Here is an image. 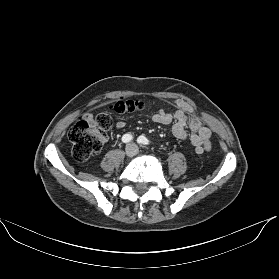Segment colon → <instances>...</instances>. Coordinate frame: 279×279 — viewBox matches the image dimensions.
Returning <instances> with one entry per match:
<instances>
[{
	"instance_id": "colon-1",
	"label": "colon",
	"mask_w": 279,
	"mask_h": 279,
	"mask_svg": "<svg viewBox=\"0 0 279 279\" xmlns=\"http://www.w3.org/2000/svg\"><path fill=\"white\" fill-rule=\"evenodd\" d=\"M144 103L140 100L120 98L110 108L118 113H130L141 110ZM111 126V119L106 114H99L93 120L83 119L74 124L68 136L72 143V155L78 162H85L90 156L101 150L106 141L105 131ZM205 150H211V142L205 141Z\"/></svg>"
}]
</instances>
